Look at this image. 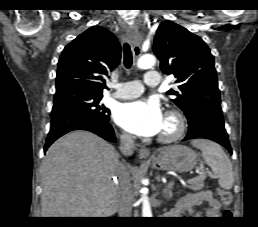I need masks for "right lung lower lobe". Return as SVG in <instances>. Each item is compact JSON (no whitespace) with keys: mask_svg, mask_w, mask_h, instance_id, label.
Here are the masks:
<instances>
[{"mask_svg":"<svg viewBox=\"0 0 258 227\" xmlns=\"http://www.w3.org/2000/svg\"><path fill=\"white\" fill-rule=\"evenodd\" d=\"M73 130L91 131L109 142H117L114 130L108 122L98 121L79 112L64 110L51 113V127L44 151L60 136Z\"/></svg>","mask_w":258,"mask_h":227,"instance_id":"right-lung-lower-lobe-1","label":"right lung lower lobe"}]
</instances>
